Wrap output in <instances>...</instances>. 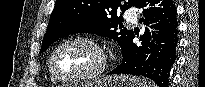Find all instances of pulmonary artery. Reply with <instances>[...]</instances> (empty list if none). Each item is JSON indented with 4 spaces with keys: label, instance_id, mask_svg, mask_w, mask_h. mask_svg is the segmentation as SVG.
<instances>
[{
    "label": "pulmonary artery",
    "instance_id": "pulmonary-artery-1",
    "mask_svg": "<svg viewBox=\"0 0 205 87\" xmlns=\"http://www.w3.org/2000/svg\"><path fill=\"white\" fill-rule=\"evenodd\" d=\"M125 17L128 21H130L132 23H135L137 21L136 14L130 10L126 12Z\"/></svg>",
    "mask_w": 205,
    "mask_h": 87
}]
</instances>
